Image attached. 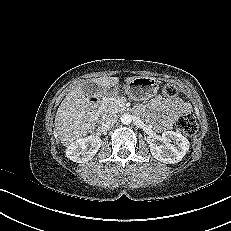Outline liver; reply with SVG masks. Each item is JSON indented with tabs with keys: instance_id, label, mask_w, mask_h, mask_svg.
<instances>
[{
	"instance_id": "1",
	"label": "liver",
	"mask_w": 231,
	"mask_h": 231,
	"mask_svg": "<svg viewBox=\"0 0 231 231\" xmlns=\"http://www.w3.org/2000/svg\"><path fill=\"white\" fill-rule=\"evenodd\" d=\"M136 77H128L125 82L129 83ZM90 82L96 83L103 89H108L116 86L119 83V78L100 77ZM83 84H79L67 94L55 116L54 125L58 138L66 147L91 133L98 119V116L90 111V105L81 89Z\"/></svg>"
}]
</instances>
